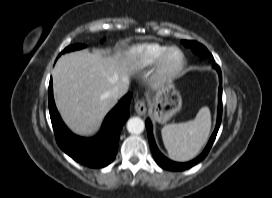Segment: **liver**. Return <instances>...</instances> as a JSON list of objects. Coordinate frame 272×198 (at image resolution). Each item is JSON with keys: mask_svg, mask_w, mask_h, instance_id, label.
Wrapping results in <instances>:
<instances>
[{"mask_svg": "<svg viewBox=\"0 0 272 198\" xmlns=\"http://www.w3.org/2000/svg\"><path fill=\"white\" fill-rule=\"evenodd\" d=\"M138 67L137 53L106 55L101 50L76 51L63 55L53 71L57 109L69 129L80 136H92L100 129L117 99L109 93L129 86V75Z\"/></svg>", "mask_w": 272, "mask_h": 198, "instance_id": "1", "label": "liver"}]
</instances>
